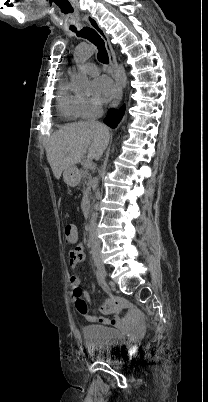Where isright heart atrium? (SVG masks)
I'll use <instances>...</instances> for the list:
<instances>
[{
  "instance_id": "1",
  "label": "right heart atrium",
  "mask_w": 208,
  "mask_h": 402,
  "mask_svg": "<svg viewBox=\"0 0 208 402\" xmlns=\"http://www.w3.org/2000/svg\"><path fill=\"white\" fill-rule=\"evenodd\" d=\"M81 115L84 120H92L100 116L103 108L102 101L89 94H80L79 98Z\"/></svg>"
}]
</instances>
